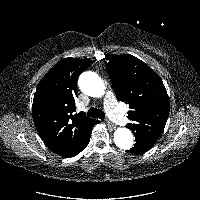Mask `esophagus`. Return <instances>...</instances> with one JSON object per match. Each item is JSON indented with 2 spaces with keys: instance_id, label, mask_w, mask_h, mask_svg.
Listing matches in <instances>:
<instances>
[{
  "instance_id": "esophagus-1",
  "label": "esophagus",
  "mask_w": 200,
  "mask_h": 200,
  "mask_svg": "<svg viewBox=\"0 0 200 200\" xmlns=\"http://www.w3.org/2000/svg\"><path fill=\"white\" fill-rule=\"evenodd\" d=\"M106 123L108 124V126H110L111 128H115L114 124H112V122L108 119H106Z\"/></svg>"
}]
</instances>
